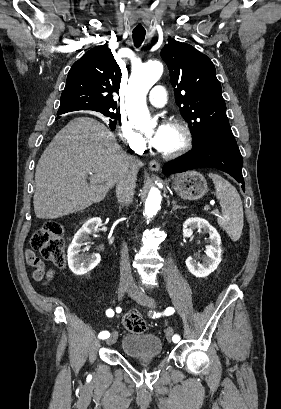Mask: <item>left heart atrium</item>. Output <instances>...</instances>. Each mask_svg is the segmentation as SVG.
<instances>
[{"label": "left heart atrium", "instance_id": "39dd6f15", "mask_svg": "<svg viewBox=\"0 0 281 409\" xmlns=\"http://www.w3.org/2000/svg\"><path fill=\"white\" fill-rule=\"evenodd\" d=\"M166 125L156 127L149 135L148 142L155 148H159L163 142Z\"/></svg>", "mask_w": 281, "mask_h": 409}]
</instances>
